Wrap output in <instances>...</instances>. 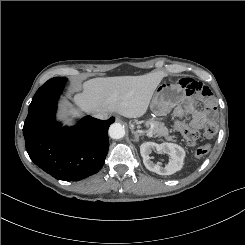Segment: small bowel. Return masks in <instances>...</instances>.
<instances>
[{
	"label": "small bowel",
	"instance_id": "obj_1",
	"mask_svg": "<svg viewBox=\"0 0 245 245\" xmlns=\"http://www.w3.org/2000/svg\"><path fill=\"white\" fill-rule=\"evenodd\" d=\"M176 86L179 90L184 91L189 97H198L203 102H208L213 97V92L210 88L203 85L201 82L190 79L186 76H181L176 81ZM215 116L211 108L203 111H196L193 115L191 126L193 129H200L212 117Z\"/></svg>",
	"mask_w": 245,
	"mask_h": 245
}]
</instances>
